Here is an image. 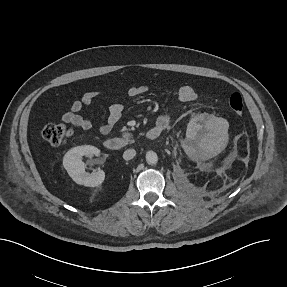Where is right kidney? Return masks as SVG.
<instances>
[{
    "label": "right kidney",
    "mask_w": 287,
    "mask_h": 287,
    "mask_svg": "<svg viewBox=\"0 0 287 287\" xmlns=\"http://www.w3.org/2000/svg\"><path fill=\"white\" fill-rule=\"evenodd\" d=\"M85 155H100V150L94 146L84 145L70 149L63 158V166L74 182L87 187H96L103 183L105 172L98 170L93 173L85 171L86 164L82 161Z\"/></svg>",
    "instance_id": "1"
}]
</instances>
